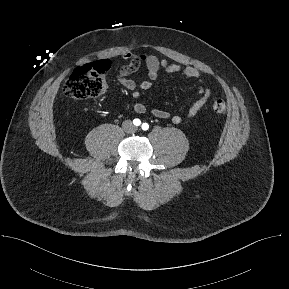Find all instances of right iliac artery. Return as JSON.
Here are the masks:
<instances>
[{
  "label": "right iliac artery",
  "mask_w": 289,
  "mask_h": 289,
  "mask_svg": "<svg viewBox=\"0 0 289 289\" xmlns=\"http://www.w3.org/2000/svg\"><path fill=\"white\" fill-rule=\"evenodd\" d=\"M134 125L139 126L141 124L140 119L136 118L133 120Z\"/></svg>",
  "instance_id": "1"
}]
</instances>
